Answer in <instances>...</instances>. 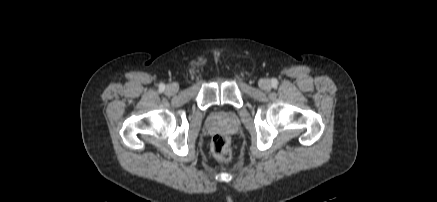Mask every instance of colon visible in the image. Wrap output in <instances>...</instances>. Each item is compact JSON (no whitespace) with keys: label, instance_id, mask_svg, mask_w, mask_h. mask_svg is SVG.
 Segmentation results:
<instances>
[{"label":"colon","instance_id":"obj_1","mask_svg":"<svg viewBox=\"0 0 437 202\" xmlns=\"http://www.w3.org/2000/svg\"><path fill=\"white\" fill-rule=\"evenodd\" d=\"M211 150L213 156L221 162H228L232 158V146L228 136L223 133L216 134L212 139Z\"/></svg>","mask_w":437,"mask_h":202}]
</instances>
